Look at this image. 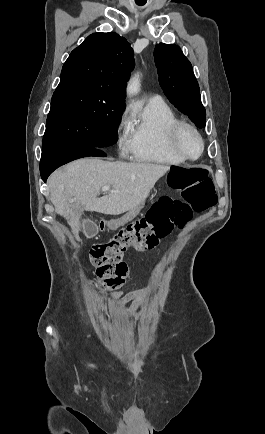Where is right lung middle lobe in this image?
Here are the masks:
<instances>
[{
  "instance_id": "1",
  "label": "right lung middle lobe",
  "mask_w": 265,
  "mask_h": 434,
  "mask_svg": "<svg viewBox=\"0 0 265 434\" xmlns=\"http://www.w3.org/2000/svg\"><path fill=\"white\" fill-rule=\"evenodd\" d=\"M124 97L86 82L59 84L51 101L43 151L103 148L118 139Z\"/></svg>"
}]
</instances>
